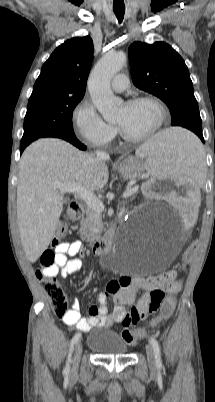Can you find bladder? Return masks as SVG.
Segmentation results:
<instances>
[{
    "mask_svg": "<svg viewBox=\"0 0 215 402\" xmlns=\"http://www.w3.org/2000/svg\"><path fill=\"white\" fill-rule=\"evenodd\" d=\"M88 348L101 355H124L127 353V344L114 330L97 328L90 332L87 337Z\"/></svg>",
    "mask_w": 215,
    "mask_h": 402,
    "instance_id": "bladder-1",
    "label": "bladder"
}]
</instances>
